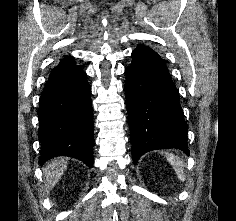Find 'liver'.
Wrapping results in <instances>:
<instances>
[{"mask_svg": "<svg viewBox=\"0 0 236 221\" xmlns=\"http://www.w3.org/2000/svg\"><path fill=\"white\" fill-rule=\"evenodd\" d=\"M66 169L67 161L64 158H59L48 162L47 166L43 168L46 192H49L55 187Z\"/></svg>", "mask_w": 236, "mask_h": 221, "instance_id": "6515ba94", "label": "liver"}]
</instances>
